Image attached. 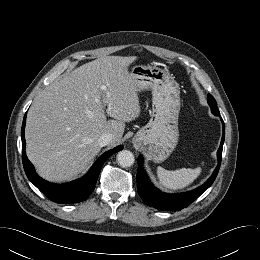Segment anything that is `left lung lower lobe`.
<instances>
[{"instance_id": "1", "label": "left lung lower lobe", "mask_w": 260, "mask_h": 260, "mask_svg": "<svg viewBox=\"0 0 260 260\" xmlns=\"http://www.w3.org/2000/svg\"><path fill=\"white\" fill-rule=\"evenodd\" d=\"M223 124V135L220 143V148L218 149V165L215 168L212 176L200 187L185 193L179 194H166L155 188L150 180L148 179L143 167H142V158L138 157V172H137V186L138 193L145 204L157 208L159 210L165 211H180L184 207L190 205L197 197L204 193L215 180L222 157V148L225 138V128L224 122L221 119Z\"/></svg>"}]
</instances>
